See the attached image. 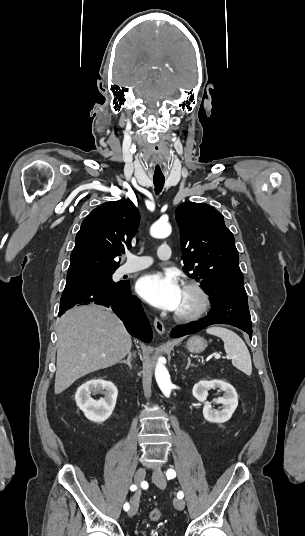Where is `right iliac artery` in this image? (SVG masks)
Instances as JSON below:
<instances>
[{
    "label": "right iliac artery",
    "mask_w": 305,
    "mask_h": 536,
    "mask_svg": "<svg viewBox=\"0 0 305 536\" xmlns=\"http://www.w3.org/2000/svg\"><path fill=\"white\" fill-rule=\"evenodd\" d=\"M136 489H137L136 485L133 484V485L130 486L131 491H135ZM123 508H124L125 511H128L129 508H130V505L128 503H125Z\"/></svg>",
    "instance_id": "obj_1"
}]
</instances>
